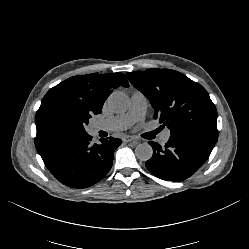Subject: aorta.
Returning a JSON list of instances; mask_svg holds the SVG:
<instances>
[{
    "instance_id": "aorta-1",
    "label": "aorta",
    "mask_w": 249,
    "mask_h": 249,
    "mask_svg": "<svg viewBox=\"0 0 249 249\" xmlns=\"http://www.w3.org/2000/svg\"><path fill=\"white\" fill-rule=\"evenodd\" d=\"M107 103L112 112L122 113L128 109L129 99L125 93L116 91L108 97ZM135 155L139 160L147 161L153 155L152 147L148 143H141L137 145Z\"/></svg>"
}]
</instances>
